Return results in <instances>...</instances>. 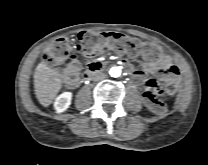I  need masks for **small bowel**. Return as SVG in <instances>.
I'll use <instances>...</instances> for the list:
<instances>
[{"label":"small bowel","instance_id":"obj_1","mask_svg":"<svg viewBox=\"0 0 208 165\" xmlns=\"http://www.w3.org/2000/svg\"><path fill=\"white\" fill-rule=\"evenodd\" d=\"M145 62L142 64V70L135 71L133 76L138 82L144 84V101L147 106H150L149 100L157 96V89L159 88L153 79H146L144 73H154L159 79L163 81H176L180 77V68L173 64L172 59L168 55L151 56L143 54ZM125 65L127 61L123 60ZM81 63L76 59H71L66 67L61 71V79L69 89H76L78 87L79 72L81 70ZM152 109V108H151ZM153 110V109H152Z\"/></svg>","mask_w":208,"mask_h":165}]
</instances>
